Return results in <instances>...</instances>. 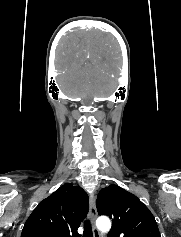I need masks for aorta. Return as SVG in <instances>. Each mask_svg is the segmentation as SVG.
Segmentation results:
<instances>
[{"label":"aorta","mask_w":181,"mask_h":237,"mask_svg":"<svg viewBox=\"0 0 181 237\" xmlns=\"http://www.w3.org/2000/svg\"><path fill=\"white\" fill-rule=\"evenodd\" d=\"M96 226L101 232H108L111 228V222L108 217L101 216L97 219Z\"/></svg>","instance_id":"obj_1"}]
</instances>
